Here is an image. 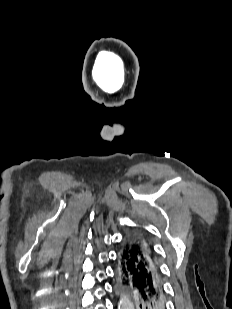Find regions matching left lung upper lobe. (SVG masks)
Listing matches in <instances>:
<instances>
[{
  "instance_id": "obj_1",
  "label": "left lung upper lobe",
  "mask_w": 232,
  "mask_h": 309,
  "mask_svg": "<svg viewBox=\"0 0 232 309\" xmlns=\"http://www.w3.org/2000/svg\"><path fill=\"white\" fill-rule=\"evenodd\" d=\"M133 236L137 239L139 244L144 248V250L146 252H148L150 255L155 257V253H154V250L152 248V245H151L149 239L144 235V233H142V232H134ZM125 292L130 297L132 303L135 304V301H134L132 295L129 292H127V291H125Z\"/></svg>"
}]
</instances>
